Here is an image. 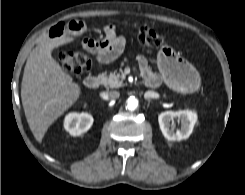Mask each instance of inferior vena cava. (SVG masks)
I'll use <instances>...</instances> for the list:
<instances>
[{
  "label": "inferior vena cava",
  "mask_w": 245,
  "mask_h": 195,
  "mask_svg": "<svg viewBox=\"0 0 245 195\" xmlns=\"http://www.w3.org/2000/svg\"><path fill=\"white\" fill-rule=\"evenodd\" d=\"M100 96L104 100H113V99H117L120 96V93L118 91H107V92H102Z\"/></svg>",
  "instance_id": "obj_1"
}]
</instances>
